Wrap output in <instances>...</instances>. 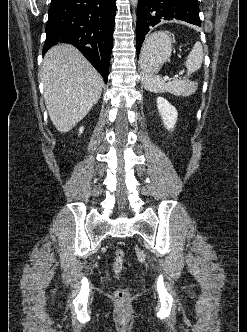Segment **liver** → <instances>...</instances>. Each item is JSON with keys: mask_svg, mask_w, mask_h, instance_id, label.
Wrapping results in <instances>:
<instances>
[{"mask_svg": "<svg viewBox=\"0 0 247 332\" xmlns=\"http://www.w3.org/2000/svg\"><path fill=\"white\" fill-rule=\"evenodd\" d=\"M40 78L50 119L61 133L70 131L89 113L104 85L101 75L69 44L48 50Z\"/></svg>", "mask_w": 247, "mask_h": 332, "instance_id": "6515ba94", "label": "liver"}]
</instances>
